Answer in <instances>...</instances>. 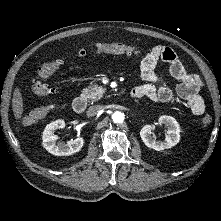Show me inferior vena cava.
<instances>
[{
    "label": "inferior vena cava",
    "instance_id": "obj_1",
    "mask_svg": "<svg viewBox=\"0 0 221 221\" xmlns=\"http://www.w3.org/2000/svg\"><path fill=\"white\" fill-rule=\"evenodd\" d=\"M100 110H101L100 105H94V106H90L86 113H87L88 117H92V116H95L96 114H98V112Z\"/></svg>",
    "mask_w": 221,
    "mask_h": 221
}]
</instances>
